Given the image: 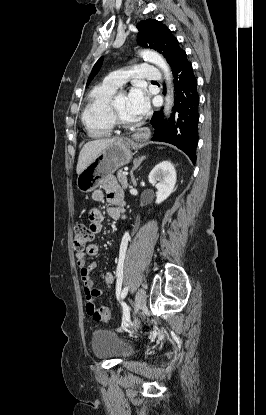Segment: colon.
I'll return each instance as SVG.
<instances>
[{"label":"colon","mask_w":266,"mask_h":415,"mask_svg":"<svg viewBox=\"0 0 266 415\" xmlns=\"http://www.w3.org/2000/svg\"><path fill=\"white\" fill-rule=\"evenodd\" d=\"M93 238V231L89 226L84 224L77 225L74 231L73 245L75 250H83L89 245ZM111 310L108 307L94 308L90 315L96 321L106 322L111 318Z\"/></svg>","instance_id":"1"}]
</instances>
